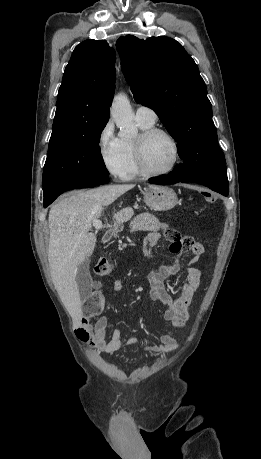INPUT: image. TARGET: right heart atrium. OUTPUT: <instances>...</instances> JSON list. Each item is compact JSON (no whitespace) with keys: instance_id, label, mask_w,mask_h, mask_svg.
<instances>
[{"instance_id":"obj_1","label":"right heart atrium","mask_w":261,"mask_h":459,"mask_svg":"<svg viewBox=\"0 0 261 459\" xmlns=\"http://www.w3.org/2000/svg\"><path fill=\"white\" fill-rule=\"evenodd\" d=\"M97 149L105 169L115 177H121L125 168V158L121 140L115 133L112 121H107L97 136Z\"/></svg>"}]
</instances>
